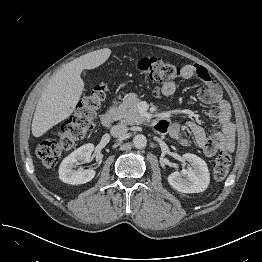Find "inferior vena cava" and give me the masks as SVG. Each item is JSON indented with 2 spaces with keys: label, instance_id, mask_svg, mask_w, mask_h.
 Listing matches in <instances>:
<instances>
[{
  "label": "inferior vena cava",
  "instance_id": "1",
  "mask_svg": "<svg viewBox=\"0 0 262 262\" xmlns=\"http://www.w3.org/2000/svg\"><path fill=\"white\" fill-rule=\"evenodd\" d=\"M127 132H128L127 126L123 124L114 125L110 129L111 135L115 138H122L127 134Z\"/></svg>",
  "mask_w": 262,
  "mask_h": 262
}]
</instances>
